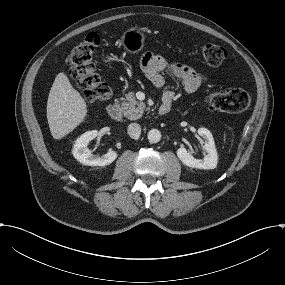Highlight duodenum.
Masks as SVG:
<instances>
[{"label":"duodenum","mask_w":285,"mask_h":285,"mask_svg":"<svg viewBox=\"0 0 285 285\" xmlns=\"http://www.w3.org/2000/svg\"><path fill=\"white\" fill-rule=\"evenodd\" d=\"M173 95L168 92L163 95L162 102L158 108L159 115H165L169 112L172 106ZM107 113L113 120H119L122 116L121 108L118 104L114 103L108 106Z\"/></svg>","instance_id":"1"}]
</instances>
